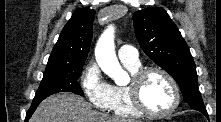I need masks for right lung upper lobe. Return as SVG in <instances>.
I'll return each instance as SVG.
<instances>
[{"label":"right lung upper lobe","instance_id":"1","mask_svg":"<svg viewBox=\"0 0 221 122\" xmlns=\"http://www.w3.org/2000/svg\"><path fill=\"white\" fill-rule=\"evenodd\" d=\"M95 11L78 9L64 26L49 57L48 64L84 63L87 58L93 33Z\"/></svg>","mask_w":221,"mask_h":122}]
</instances>
